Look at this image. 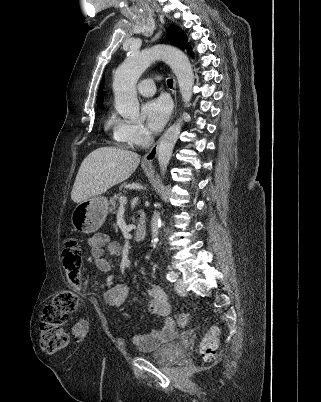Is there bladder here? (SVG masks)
<instances>
[{
  "instance_id": "obj_1",
  "label": "bladder",
  "mask_w": 321,
  "mask_h": 402,
  "mask_svg": "<svg viewBox=\"0 0 321 402\" xmlns=\"http://www.w3.org/2000/svg\"><path fill=\"white\" fill-rule=\"evenodd\" d=\"M141 356L164 365H172L178 360L173 343L162 344L151 353H141Z\"/></svg>"
}]
</instances>
